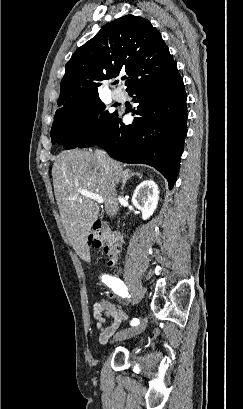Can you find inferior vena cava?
<instances>
[{"mask_svg":"<svg viewBox=\"0 0 243 409\" xmlns=\"http://www.w3.org/2000/svg\"><path fill=\"white\" fill-rule=\"evenodd\" d=\"M95 155L97 157L98 162L102 163V164H106L108 163V156L105 152H103L102 150L97 149L95 151Z\"/></svg>","mask_w":243,"mask_h":409,"instance_id":"1","label":"inferior vena cava"}]
</instances>
